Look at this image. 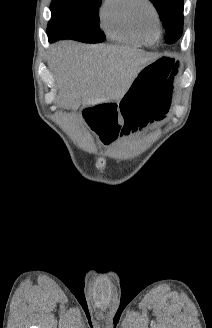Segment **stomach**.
Returning <instances> with one entry per match:
<instances>
[{"mask_svg":"<svg viewBox=\"0 0 212 328\" xmlns=\"http://www.w3.org/2000/svg\"><path fill=\"white\" fill-rule=\"evenodd\" d=\"M178 62L160 56L143 66L125 95L117 102H88L81 119L92 134L99 135L104 146L126 136L130 131L163 120L169 112L172 78Z\"/></svg>","mask_w":212,"mask_h":328,"instance_id":"obj_1","label":"stomach"}]
</instances>
